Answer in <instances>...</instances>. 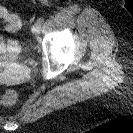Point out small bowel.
Returning a JSON list of instances; mask_svg holds the SVG:
<instances>
[{
  "mask_svg": "<svg viewBox=\"0 0 133 133\" xmlns=\"http://www.w3.org/2000/svg\"><path fill=\"white\" fill-rule=\"evenodd\" d=\"M4 22H5V21H4ZM7 29H8L9 31H13V30L9 29L8 27H7Z\"/></svg>",
  "mask_w": 133,
  "mask_h": 133,
  "instance_id": "small-bowel-1",
  "label": "small bowel"
}]
</instances>
